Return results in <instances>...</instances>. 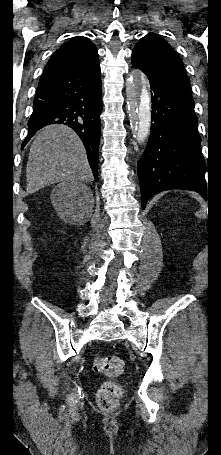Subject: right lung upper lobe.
Listing matches in <instances>:
<instances>
[{"label": "right lung upper lobe", "mask_w": 221, "mask_h": 455, "mask_svg": "<svg viewBox=\"0 0 221 455\" xmlns=\"http://www.w3.org/2000/svg\"><path fill=\"white\" fill-rule=\"evenodd\" d=\"M97 53L95 45L86 37H76L61 46L50 58L43 75L83 57L87 54Z\"/></svg>", "instance_id": "obj_1"}]
</instances>
